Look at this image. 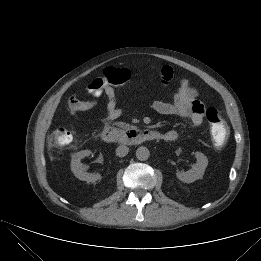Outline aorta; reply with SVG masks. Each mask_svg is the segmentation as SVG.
<instances>
[{
    "instance_id": "aorta-1",
    "label": "aorta",
    "mask_w": 261,
    "mask_h": 261,
    "mask_svg": "<svg viewBox=\"0 0 261 261\" xmlns=\"http://www.w3.org/2000/svg\"><path fill=\"white\" fill-rule=\"evenodd\" d=\"M150 152L147 147L141 146L136 150V157L140 161H145L149 158Z\"/></svg>"
}]
</instances>
